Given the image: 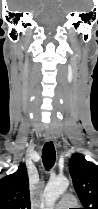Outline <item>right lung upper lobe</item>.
<instances>
[{
  "label": "right lung upper lobe",
  "instance_id": "right-lung-upper-lobe-1",
  "mask_svg": "<svg viewBox=\"0 0 98 209\" xmlns=\"http://www.w3.org/2000/svg\"><path fill=\"white\" fill-rule=\"evenodd\" d=\"M0 209H30L29 180L24 163L0 179Z\"/></svg>",
  "mask_w": 98,
  "mask_h": 209
}]
</instances>
